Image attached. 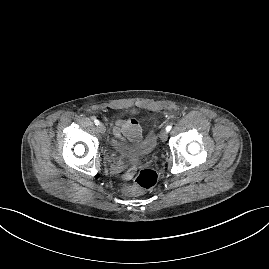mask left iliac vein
I'll return each mask as SVG.
<instances>
[{"mask_svg": "<svg viewBox=\"0 0 269 269\" xmlns=\"http://www.w3.org/2000/svg\"><path fill=\"white\" fill-rule=\"evenodd\" d=\"M168 138V132L166 130H162L160 132V139L164 142L166 141Z\"/></svg>", "mask_w": 269, "mask_h": 269, "instance_id": "left-iliac-vein-1", "label": "left iliac vein"}]
</instances>
